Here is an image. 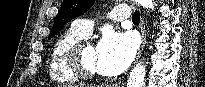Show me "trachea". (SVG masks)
<instances>
[{"label":"trachea","instance_id":"3493384b","mask_svg":"<svg viewBox=\"0 0 205 87\" xmlns=\"http://www.w3.org/2000/svg\"><path fill=\"white\" fill-rule=\"evenodd\" d=\"M132 21L133 22H140V14H139V11H136L133 16H132Z\"/></svg>","mask_w":205,"mask_h":87}]
</instances>
